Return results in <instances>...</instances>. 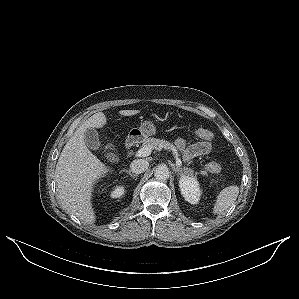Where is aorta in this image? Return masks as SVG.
I'll return each instance as SVG.
<instances>
[{
  "instance_id": "1",
  "label": "aorta",
  "mask_w": 299,
  "mask_h": 299,
  "mask_svg": "<svg viewBox=\"0 0 299 299\" xmlns=\"http://www.w3.org/2000/svg\"><path fill=\"white\" fill-rule=\"evenodd\" d=\"M169 170L165 165H159L154 171V176L159 181H165L169 178Z\"/></svg>"
}]
</instances>
